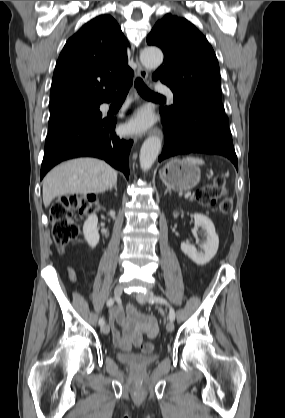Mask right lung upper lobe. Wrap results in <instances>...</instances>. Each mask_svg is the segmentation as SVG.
I'll return each mask as SVG.
<instances>
[{
  "instance_id": "1",
  "label": "right lung upper lobe",
  "mask_w": 285,
  "mask_h": 418,
  "mask_svg": "<svg viewBox=\"0 0 285 418\" xmlns=\"http://www.w3.org/2000/svg\"><path fill=\"white\" fill-rule=\"evenodd\" d=\"M128 41L115 19L100 15L65 44L53 74L49 107L72 102H110L114 84L133 76Z\"/></svg>"
}]
</instances>
